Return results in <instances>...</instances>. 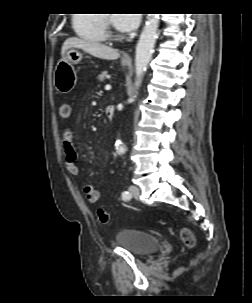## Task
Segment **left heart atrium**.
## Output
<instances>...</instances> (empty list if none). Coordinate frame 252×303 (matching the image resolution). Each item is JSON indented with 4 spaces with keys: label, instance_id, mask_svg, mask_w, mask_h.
<instances>
[{
    "label": "left heart atrium",
    "instance_id": "1",
    "mask_svg": "<svg viewBox=\"0 0 252 303\" xmlns=\"http://www.w3.org/2000/svg\"><path fill=\"white\" fill-rule=\"evenodd\" d=\"M139 22V14H114L113 16V23L121 32H131L135 30Z\"/></svg>",
    "mask_w": 252,
    "mask_h": 303
}]
</instances>
